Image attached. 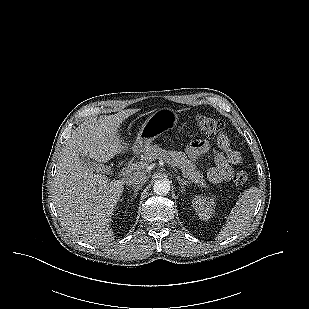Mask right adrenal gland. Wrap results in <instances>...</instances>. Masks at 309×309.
<instances>
[{
	"instance_id": "2a0ac1e0",
	"label": "right adrenal gland",
	"mask_w": 309,
	"mask_h": 309,
	"mask_svg": "<svg viewBox=\"0 0 309 309\" xmlns=\"http://www.w3.org/2000/svg\"><path fill=\"white\" fill-rule=\"evenodd\" d=\"M132 190H133V192H134L133 197L136 198L137 192L140 190V187H133Z\"/></svg>"
}]
</instances>
